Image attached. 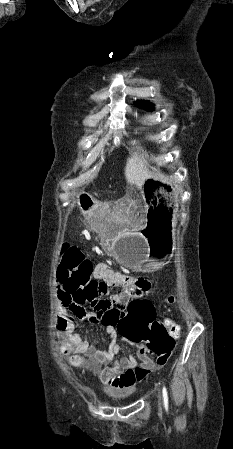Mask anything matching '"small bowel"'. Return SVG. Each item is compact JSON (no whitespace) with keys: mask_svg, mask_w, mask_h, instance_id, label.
Wrapping results in <instances>:
<instances>
[{"mask_svg":"<svg viewBox=\"0 0 233 449\" xmlns=\"http://www.w3.org/2000/svg\"><path fill=\"white\" fill-rule=\"evenodd\" d=\"M93 277L98 281L94 295L99 300L96 305L93 304L91 307L93 309L101 308L99 310L101 313L104 311L102 308L117 307L120 310L127 306L128 301H141L142 295L152 289L151 280L145 274H122L112 270L101 261L96 262ZM57 281L56 293L63 310L69 313L71 318H78L83 322L102 323L110 336L108 347L101 350L92 343L84 341L79 334L74 332L75 323L72 319L66 320L61 325L70 354L78 357L81 364L93 368L109 387L115 390L130 389L143 381L150 372L165 366L170 354L151 357L149 349H135L134 343L131 345L135 353L122 356L113 365H110L120 351L121 338H119L116 328L106 326V321H101L99 315L96 317L85 307L77 306L71 296L65 293L63 278L60 274ZM106 286L119 287L115 290L116 295L111 299L109 298L110 290ZM163 326L168 332L174 327L179 330V326L170 318L163 319Z\"/></svg>","mask_w":233,"mask_h":449,"instance_id":"c3829d8e","label":"small bowel"}]
</instances>
